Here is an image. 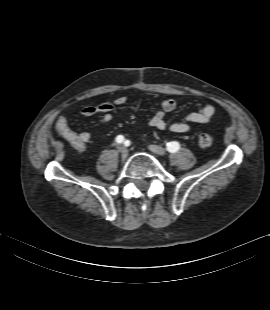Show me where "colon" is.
Masks as SVG:
<instances>
[{
  "label": "colon",
  "instance_id": "obj_1",
  "mask_svg": "<svg viewBox=\"0 0 270 310\" xmlns=\"http://www.w3.org/2000/svg\"><path fill=\"white\" fill-rule=\"evenodd\" d=\"M59 129L61 132L65 133L68 140L72 143V145L76 148L80 146V140L78 137L70 132H67V128L64 125H59ZM198 143L201 147L207 148L213 144V137L206 132H201L198 135Z\"/></svg>",
  "mask_w": 270,
  "mask_h": 310
}]
</instances>
